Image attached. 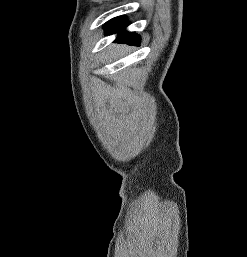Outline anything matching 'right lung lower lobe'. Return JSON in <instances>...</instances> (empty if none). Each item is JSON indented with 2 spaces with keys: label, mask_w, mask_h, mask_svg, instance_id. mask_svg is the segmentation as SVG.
I'll use <instances>...</instances> for the list:
<instances>
[{
  "label": "right lung lower lobe",
  "mask_w": 247,
  "mask_h": 257,
  "mask_svg": "<svg viewBox=\"0 0 247 257\" xmlns=\"http://www.w3.org/2000/svg\"><path fill=\"white\" fill-rule=\"evenodd\" d=\"M128 24L129 23L126 21V17L124 16L113 18L105 25L106 34L110 35L119 32L115 42L139 45L140 38L137 34L123 31Z\"/></svg>",
  "instance_id": "98d812e1"
}]
</instances>
